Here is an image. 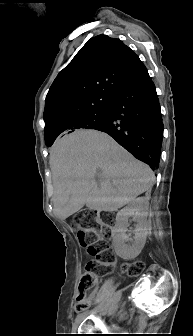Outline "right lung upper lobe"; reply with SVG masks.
Instances as JSON below:
<instances>
[{
	"instance_id": "cb5924a9",
	"label": "right lung upper lobe",
	"mask_w": 193,
	"mask_h": 336,
	"mask_svg": "<svg viewBox=\"0 0 193 336\" xmlns=\"http://www.w3.org/2000/svg\"><path fill=\"white\" fill-rule=\"evenodd\" d=\"M121 40L91 38L58 74L46 97L45 140L74 132L78 117L108 108L113 98L141 64Z\"/></svg>"
}]
</instances>
